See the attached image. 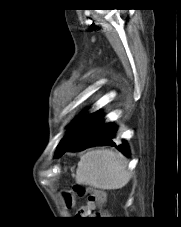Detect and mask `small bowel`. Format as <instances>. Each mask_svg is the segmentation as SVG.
I'll return each instance as SVG.
<instances>
[{"instance_id": "small-bowel-1", "label": "small bowel", "mask_w": 181, "mask_h": 227, "mask_svg": "<svg viewBox=\"0 0 181 227\" xmlns=\"http://www.w3.org/2000/svg\"><path fill=\"white\" fill-rule=\"evenodd\" d=\"M95 208V204L93 203H88L86 206L82 207L80 210H79V213L80 214H84V215H87L89 214L93 209Z\"/></svg>"}]
</instances>
